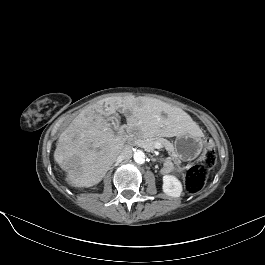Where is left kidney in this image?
<instances>
[{
    "instance_id": "5707ae66",
    "label": "left kidney",
    "mask_w": 265,
    "mask_h": 265,
    "mask_svg": "<svg viewBox=\"0 0 265 265\" xmlns=\"http://www.w3.org/2000/svg\"><path fill=\"white\" fill-rule=\"evenodd\" d=\"M182 190V184L175 176H163V192L166 195L171 197H180Z\"/></svg>"
}]
</instances>
